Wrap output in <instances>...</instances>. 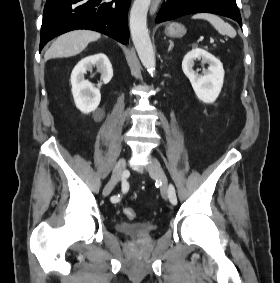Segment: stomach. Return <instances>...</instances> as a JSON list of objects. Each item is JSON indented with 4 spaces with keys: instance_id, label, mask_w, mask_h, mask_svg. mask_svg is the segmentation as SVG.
I'll use <instances>...</instances> for the list:
<instances>
[{
    "instance_id": "1",
    "label": "stomach",
    "mask_w": 280,
    "mask_h": 283,
    "mask_svg": "<svg viewBox=\"0 0 280 283\" xmlns=\"http://www.w3.org/2000/svg\"><path fill=\"white\" fill-rule=\"evenodd\" d=\"M165 34L169 37L179 38L186 34V28L177 22L168 23L165 28Z\"/></svg>"
}]
</instances>
